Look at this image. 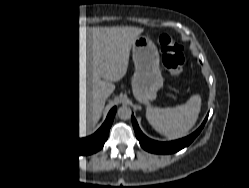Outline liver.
<instances>
[{"label": "liver", "instance_id": "6515ba94", "mask_svg": "<svg viewBox=\"0 0 249 188\" xmlns=\"http://www.w3.org/2000/svg\"><path fill=\"white\" fill-rule=\"evenodd\" d=\"M138 27L83 28L79 31V131L86 135L101 117L112 82L125 74ZM102 77L104 80H101Z\"/></svg>", "mask_w": 249, "mask_h": 188}]
</instances>
